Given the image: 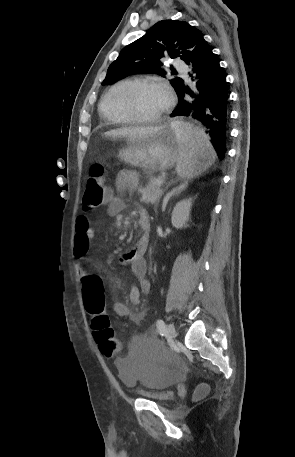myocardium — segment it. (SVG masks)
I'll list each match as a JSON object with an SVG mask.
<instances>
[{
  "instance_id": "f54148a6",
  "label": "myocardium",
  "mask_w": 295,
  "mask_h": 457,
  "mask_svg": "<svg viewBox=\"0 0 295 457\" xmlns=\"http://www.w3.org/2000/svg\"><path fill=\"white\" fill-rule=\"evenodd\" d=\"M150 86H160L164 87V85L157 80L152 79H138L131 81L127 84L119 93L118 101L120 104L121 109L124 111L126 115H128L134 122L138 123H155L160 121L162 118L166 116L171 108V101L167 103L164 110L156 116L146 117L140 115L135 107H134V95L135 93L145 87Z\"/></svg>"
}]
</instances>
